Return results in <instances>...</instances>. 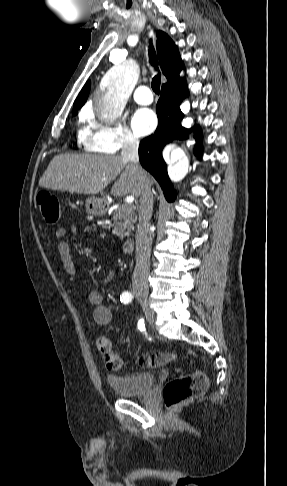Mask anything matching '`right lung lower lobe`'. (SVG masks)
Returning a JSON list of instances; mask_svg holds the SVG:
<instances>
[{
    "label": "right lung lower lobe",
    "instance_id": "right-lung-lower-lobe-1",
    "mask_svg": "<svg viewBox=\"0 0 287 486\" xmlns=\"http://www.w3.org/2000/svg\"><path fill=\"white\" fill-rule=\"evenodd\" d=\"M188 95L185 80L169 85L162 86L160 99L156 105L159 124L154 135L141 141L139 146V160L141 165L149 171L159 182L165 198L168 201L175 199V192L167 174L166 163L161 152L163 147L175 139H186L189 130L181 126L184 114L180 111L181 101ZM197 140L196 155L201 154L198 141L201 137L200 129L193 128Z\"/></svg>",
    "mask_w": 287,
    "mask_h": 486
}]
</instances>
